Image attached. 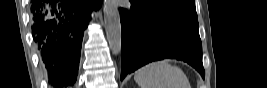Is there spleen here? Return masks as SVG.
I'll return each mask as SVG.
<instances>
[{"label": "spleen", "instance_id": "1", "mask_svg": "<svg viewBox=\"0 0 267 88\" xmlns=\"http://www.w3.org/2000/svg\"><path fill=\"white\" fill-rule=\"evenodd\" d=\"M140 88H191L184 72L167 61L152 62L135 72Z\"/></svg>", "mask_w": 267, "mask_h": 88}]
</instances>
